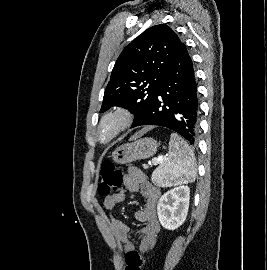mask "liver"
<instances>
[{
  "instance_id": "obj_1",
  "label": "liver",
  "mask_w": 267,
  "mask_h": 270,
  "mask_svg": "<svg viewBox=\"0 0 267 270\" xmlns=\"http://www.w3.org/2000/svg\"><path fill=\"white\" fill-rule=\"evenodd\" d=\"M148 130H149V128L142 129L140 132H138L137 134H135V136H133V139H137L138 137H140L141 135H143L144 133H146Z\"/></svg>"
}]
</instances>
